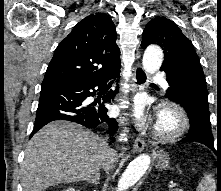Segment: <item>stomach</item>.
Here are the masks:
<instances>
[{
	"mask_svg": "<svg viewBox=\"0 0 221 191\" xmlns=\"http://www.w3.org/2000/svg\"><path fill=\"white\" fill-rule=\"evenodd\" d=\"M169 162H170V157L166 152L160 150L156 153L154 157V164L156 168L164 169L168 167Z\"/></svg>",
	"mask_w": 221,
	"mask_h": 191,
	"instance_id": "0dacf381",
	"label": "stomach"
}]
</instances>
